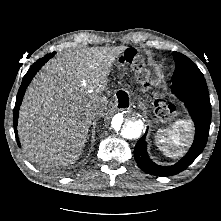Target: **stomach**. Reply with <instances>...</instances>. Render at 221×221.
Segmentation results:
<instances>
[{"label":"stomach","mask_w":221,"mask_h":221,"mask_svg":"<svg viewBox=\"0 0 221 221\" xmlns=\"http://www.w3.org/2000/svg\"><path fill=\"white\" fill-rule=\"evenodd\" d=\"M140 80L144 85L145 97L153 108L156 116V122H163L164 120H171L177 117L178 108L175 100L171 96H164L161 93L162 84L158 75L155 74L151 68H144L140 72Z\"/></svg>","instance_id":"obj_1"}]
</instances>
